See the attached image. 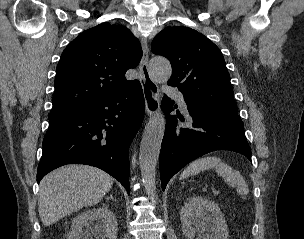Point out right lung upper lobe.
<instances>
[{
  "instance_id": "obj_1",
  "label": "right lung upper lobe",
  "mask_w": 304,
  "mask_h": 239,
  "mask_svg": "<svg viewBox=\"0 0 304 239\" xmlns=\"http://www.w3.org/2000/svg\"><path fill=\"white\" fill-rule=\"evenodd\" d=\"M141 57L139 41L124 26L102 23L81 33L65 48L57 65L49 119L82 110L135 83L125 73Z\"/></svg>"
}]
</instances>
